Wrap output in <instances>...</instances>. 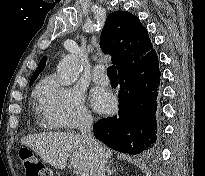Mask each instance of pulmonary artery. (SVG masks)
<instances>
[{
  "instance_id": "1",
  "label": "pulmonary artery",
  "mask_w": 205,
  "mask_h": 176,
  "mask_svg": "<svg viewBox=\"0 0 205 176\" xmlns=\"http://www.w3.org/2000/svg\"><path fill=\"white\" fill-rule=\"evenodd\" d=\"M92 78L96 84H99V85L109 84V78L102 73L101 66H97L94 68Z\"/></svg>"
}]
</instances>
